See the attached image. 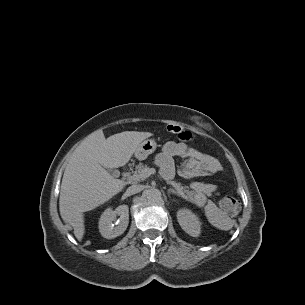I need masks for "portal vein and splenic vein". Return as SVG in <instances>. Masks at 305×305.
<instances>
[{
	"label": "portal vein and splenic vein",
	"instance_id": "1",
	"mask_svg": "<svg viewBox=\"0 0 305 305\" xmlns=\"http://www.w3.org/2000/svg\"><path fill=\"white\" fill-rule=\"evenodd\" d=\"M155 172L154 168H145L141 173L138 175V178H141L142 180L148 178L151 174Z\"/></svg>",
	"mask_w": 305,
	"mask_h": 305
}]
</instances>
